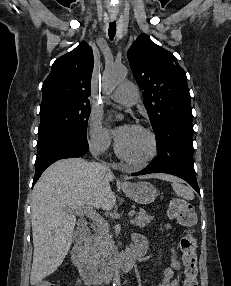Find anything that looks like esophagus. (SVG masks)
Masks as SVG:
<instances>
[{
	"label": "esophagus",
	"instance_id": "obj_1",
	"mask_svg": "<svg viewBox=\"0 0 231 286\" xmlns=\"http://www.w3.org/2000/svg\"><path fill=\"white\" fill-rule=\"evenodd\" d=\"M110 19H111L112 21L115 20V19H116V15H114V14L110 15ZM121 183H122V184H126V181H125L124 179H121Z\"/></svg>",
	"mask_w": 231,
	"mask_h": 286
}]
</instances>
